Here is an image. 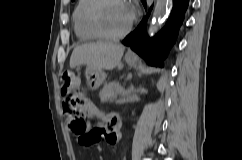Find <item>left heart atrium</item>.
I'll return each mask as SVG.
<instances>
[{"instance_id":"39dd6f15","label":"left heart atrium","mask_w":242,"mask_h":160,"mask_svg":"<svg viewBox=\"0 0 242 160\" xmlns=\"http://www.w3.org/2000/svg\"><path fill=\"white\" fill-rule=\"evenodd\" d=\"M131 9H132V12H133V7L130 5Z\"/></svg>"}]
</instances>
